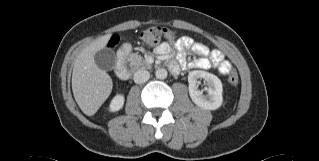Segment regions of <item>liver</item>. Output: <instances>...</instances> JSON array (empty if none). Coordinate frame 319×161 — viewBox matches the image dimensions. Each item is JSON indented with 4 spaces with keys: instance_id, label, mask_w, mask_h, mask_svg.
Instances as JSON below:
<instances>
[{
    "instance_id": "6515ba94",
    "label": "liver",
    "mask_w": 319,
    "mask_h": 161,
    "mask_svg": "<svg viewBox=\"0 0 319 161\" xmlns=\"http://www.w3.org/2000/svg\"><path fill=\"white\" fill-rule=\"evenodd\" d=\"M110 37L108 34L95 40L79 53L74 62L73 95L82 112L88 116L97 112L113 88L111 77L94 60V55L105 48Z\"/></svg>"
}]
</instances>
